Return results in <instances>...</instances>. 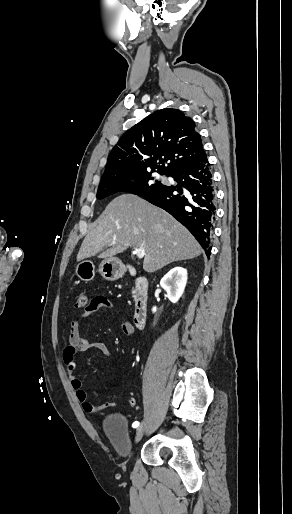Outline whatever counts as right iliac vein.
<instances>
[{
  "instance_id": "obj_1",
  "label": "right iliac vein",
  "mask_w": 292,
  "mask_h": 514,
  "mask_svg": "<svg viewBox=\"0 0 292 514\" xmlns=\"http://www.w3.org/2000/svg\"><path fill=\"white\" fill-rule=\"evenodd\" d=\"M147 428V419H145L141 425L137 428L135 435V443L139 442Z\"/></svg>"
}]
</instances>
